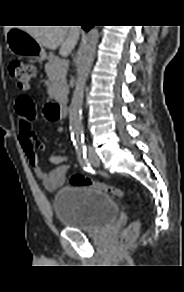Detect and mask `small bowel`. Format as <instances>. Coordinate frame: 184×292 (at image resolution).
Listing matches in <instances>:
<instances>
[{
	"instance_id": "1",
	"label": "small bowel",
	"mask_w": 184,
	"mask_h": 292,
	"mask_svg": "<svg viewBox=\"0 0 184 292\" xmlns=\"http://www.w3.org/2000/svg\"><path fill=\"white\" fill-rule=\"evenodd\" d=\"M18 139L21 148L26 156L29 166L35 175L43 182L45 188L54 191L60 188L66 180L69 170L67 155H51L49 161L55 165L53 169L47 171L40 166L38 151L44 149L32 126L24 127L19 123Z\"/></svg>"
}]
</instances>
